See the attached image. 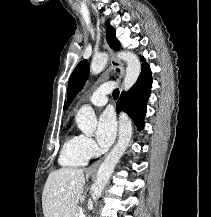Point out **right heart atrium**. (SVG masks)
Instances as JSON below:
<instances>
[{"instance_id": "right-heart-atrium-1", "label": "right heart atrium", "mask_w": 211, "mask_h": 217, "mask_svg": "<svg viewBox=\"0 0 211 217\" xmlns=\"http://www.w3.org/2000/svg\"><path fill=\"white\" fill-rule=\"evenodd\" d=\"M82 147L85 153L90 157L95 156L98 153V147L95 141L88 137L81 135Z\"/></svg>"}]
</instances>
